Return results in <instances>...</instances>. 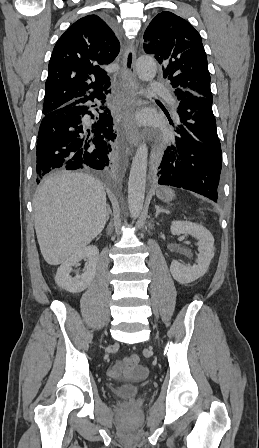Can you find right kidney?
Listing matches in <instances>:
<instances>
[{
  "mask_svg": "<svg viewBox=\"0 0 259 448\" xmlns=\"http://www.w3.org/2000/svg\"><path fill=\"white\" fill-rule=\"evenodd\" d=\"M98 256L99 250L96 246H87V248L80 250L78 254L71 256L57 270L55 278L57 286L67 290V292H72V294H78V292L86 290L95 278ZM81 260H86L84 274L71 278L69 274L72 272V266H76L77 262H81Z\"/></svg>",
  "mask_w": 259,
  "mask_h": 448,
  "instance_id": "obj_1",
  "label": "right kidney"
}]
</instances>
